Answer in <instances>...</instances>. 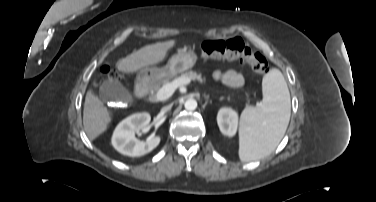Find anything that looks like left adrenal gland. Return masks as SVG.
Returning <instances> with one entry per match:
<instances>
[{"label":"left adrenal gland","mask_w":376,"mask_h":202,"mask_svg":"<svg viewBox=\"0 0 376 202\" xmlns=\"http://www.w3.org/2000/svg\"><path fill=\"white\" fill-rule=\"evenodd\" d=\"M206 99L209 100V96H207Z\"/></svg>","instance_id":"left-adrenal-gland-1"}]
</instances>
